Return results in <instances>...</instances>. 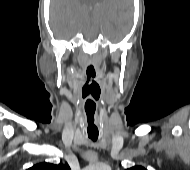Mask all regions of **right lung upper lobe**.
<instances>
[{
  "mask_svg": "<svg viewBox=\"0 0 190 170\" xmlns=\"http://www.w3.org/2000/svg\"><path fill=\"white\" fill-rule=\"evenodd\" d=\"M28 170H70V167L67 163H39L32 166Z\"/></svg>",
  "mask_w": 190,
  "mask_h": 170,
  "instance_id": "1",
  "label": "right lung upper lobe"
}]
</instances>
